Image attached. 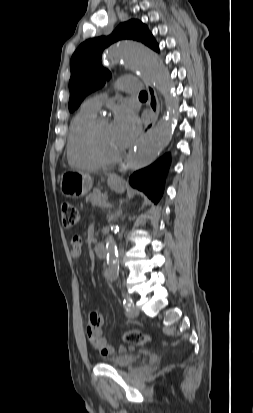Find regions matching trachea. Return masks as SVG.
Wrapping results in <instances>:
<instances>
[{"mask_svg": "<svg viewBox=\"0 0 253 413\" xmlns=\"http://www.w3.org/2000/svg\"><path fill=\"white\" fill-rule=\"evenodd\" d=\"M148 95H147V92H145V91H142L140 94H139V97H147Z\"/></svg>", "mask_w": 253, "mask_h": 413, "instance_id": "trachea-1", "label": "trachea"}]
</instances>
